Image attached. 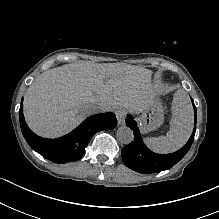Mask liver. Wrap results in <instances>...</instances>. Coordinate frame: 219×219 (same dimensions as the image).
<instances>
[{
    "instance_id": "6515ba94",
    "label": "liver",
    "mask_w": 219,
    "mask_h": 219,
    "mask_svg": "<svg viewBox=\"0 0 219 219\" xmlns=\"http://www.w3.org/2000/svg\"><path fill=\"white\" fill-rule=\"evenodd\" d=\"M151 74L124 63H70L46 70L24 94L26 122L34 133L58 138L92 114L93 103L106 105L109 111H142L153 94Z\"/></svg>"
}]
</instances>
